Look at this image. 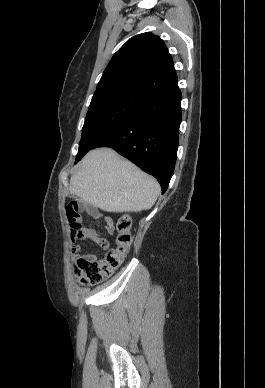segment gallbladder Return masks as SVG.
<instances>
[{"label": "gallbladder", "instance_id": "bac80fb5", "mask_svg": "<svg viewBox=\"0 0 265 388\" xmlns=\"http://www.w3.org/2000/svg\"><path fill=\"white\" fill-rule=\"evenodd\" d=\"M70 198H74V200H78L77 196H70Z\"/></svg>", "mask_w": 265, "mask_h": 388}]
</instances>
